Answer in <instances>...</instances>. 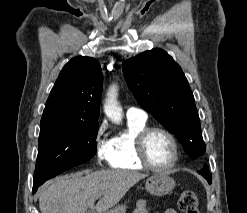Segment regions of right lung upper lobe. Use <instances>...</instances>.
I'll use <instances>...</instances> for the list:
<instances>
[{"instance_id": "1", "label": "right lung upper lobe", "mask_w": 247, "mask_h": 213, "mask_svg": "<svg viewBox=\"0 0 247 213\" xmlns=\"http://www.w3.org/2000/svg\"><path fill=\"white\" fill-rule=\"evenodd\" d=\"M102 83V70L96 59L83 56L71 59L51 90L41 124H98Z\"/></svg>"}]
</instances>
